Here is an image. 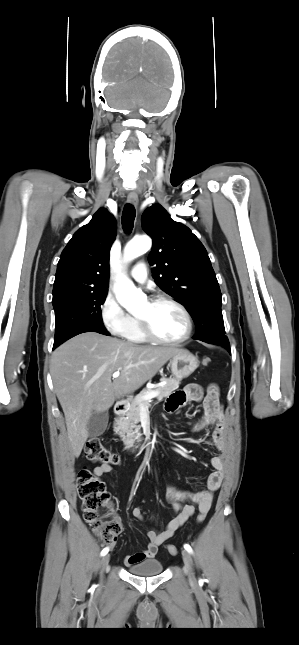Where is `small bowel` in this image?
<instances>
[{
    "mask_svg": "<svg viewBox=\"0 0 299 645\" xmlns=\"http://www.w3.org/2000/svg\"><path fill=\"white\" fill-rule=\"evenodd\" d=\"M192 402H202L203 415L194 425V431H200L210 426H215V429L209 439L208 443L213 445L219 452L209 459V464L212 467V472L208 475L206 486L200 491H187L181 490L173 485H168L166 489L167 501L172 505L174 512H178L166 525V527L157 531L151 529L147 536L149 543L146 550L132 555H128L124 559L126 566H132L142 561L152 559L156 556L159 547L195 513L196 509L199 512L207 513L211 507L214 494L219 489L223 479L224 468V452L226 450V434L223 424L222 407L219 401V389L216 385H211L207 392L204 393L201 386L195 383L187 385L181 391L172 394L165 404V410L168 413H173L180 408L186 407ZM112 471V466L109 464L98 465L94 469L96 476H103ZM142 503L145 502L143 499ZM132 515L139 521L144 520V514L140 507H135L132 510Z\"/></svg>",
    "mask_w": 299,
    "mask_h": 645,
    "instance_id": "small-bowel-1",
    "label": "small bowel"
}]
</instances>
